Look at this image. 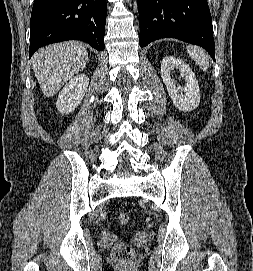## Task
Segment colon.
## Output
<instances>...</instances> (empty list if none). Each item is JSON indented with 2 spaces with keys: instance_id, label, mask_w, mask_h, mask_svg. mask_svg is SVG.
Segmentation results:
<instances>
[{
  "instance_id": "1",
  "label": "colon",
  "mask_w": 253,
  "mask_h": 271,
  "mask_svg": "<svg viewBox=\"0 0 253 271\" xmlns=\"http://www.w3.org/2000/svg\"><path fill=\"white\" fill-rule=\"evenodd\" d=\"M117 219L120 224H127L129 214L127 212H119ZM133 255L132 247L125 242L117 244L114 249V257L120 262H130L133 259Z\"/></svg>"
}]
</instances>
